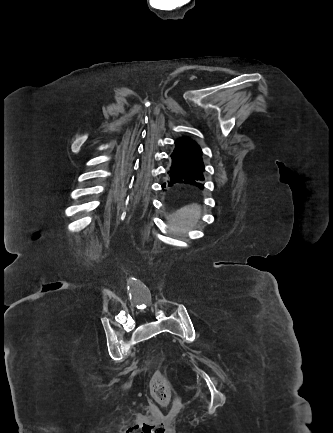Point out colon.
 Returning a JSON list of instances; mask_svg holds the SVG:
<instances>
[{
    "mask_svg": "<svg viewBox=\"0 0 333 433\" xmlns=\"http://www.w3.org/2000/svg\"><path fill=\"white\" fill-rule=\"evenodd\" d=\"M150 388L152 396L157 403L161 405L169 403L172 394V386L163 371L158 370L153 374L150 381Z\"/></svg>",
    "mask_w": 333,
    "mask_h": 433,
    "instance_id": "obj_1",
    "label": "colon"
}]
</instances>
